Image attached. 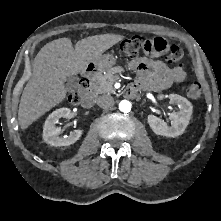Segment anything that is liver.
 <instances>
[{"label":"liver","instance_id":"obj_1","mask_svg":"<svg viewBox=\"0 0 221 221\" xmlns=\"http://www.w3.org/2000/svg\"><path fill=\"white\" fill-rule=\"evenodd\" d=\"M121 35L102 34L79 40L75 49L69 38L47 43L36 55L32 77L26 84L18 110L22 130L66 97L67 77L84 73L88 64L118 43Z\"/></svg>","mask_w":221,"mask_h":221}]
</instances>
